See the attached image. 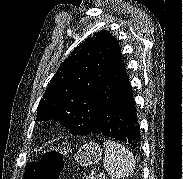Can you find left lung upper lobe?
Listing matches in <instances>:
<instances>
[{"label":"left lung upper lobe","instance_id":"5c2ea615","mask_svg":"<svg viewBox=\"0 0 183 179\" xmlns=\"http://www.w3.org/2000/svg\"><path fill=\"white\" fill-rule=\"evenodd\" d=\"M123 70L121 49L108 31L76 47L51 79L38 120H58L73 135H88L112 106Z\"/></svg>","mask_w":183,"mask_h":179}]
</instances>
